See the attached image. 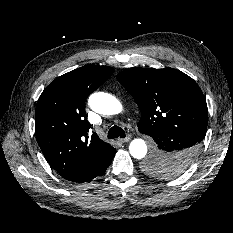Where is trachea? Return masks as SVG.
I'll return each mask as SVG.
<instances>
[{"mask_svg":"<svg viewBox=\"0 0 233 233\" xmlns=\"http://www.w3.org/2000/svg\"><path fill=\"white\" fill-rule=\"evenodd\" d=\"M126 135H125V131L119 127V126H113L109 131H108V134H107V137L109 139H114V138H117V137H121V138H124Z\"/></svg>","mask_w":233,"mask_h":233,"instance_id":"1","label":"trachea"}]
</instances>
